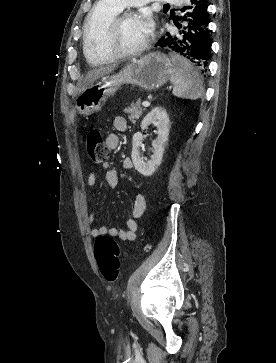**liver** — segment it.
Masks as SVG:
<instances>
[{"instance_id": "liver-1", "label": "liver", "mask_w": 276, "mask_h": 363, "mask_svg": "<svg viewBox=\"0 0 276 363\" xmlns=\"http://www.w3.org/2000/svg\"><path fill=\"white\" fill-rule=\"evenodd\" d=\"M116 67H117V65L113 64V65H107V66H101L98 68H94L93 70L89 71L83 79L82 87L80 90L81 91L85 90L89 84L93 83L100 77L111 73Z\"/></svg>"}]
</instances>
